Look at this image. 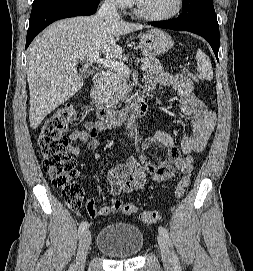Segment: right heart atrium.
<instances>
[{
	"label": "right heart atrium",
	"mask_w": 253,
	"mask_h": 271,
	"mask_svg": "<svg viewBox=\"0 0 253 271\" xmlns=\"http://www.w3.org/2000/svg\"><path fill=\"white\" fill-rule=\"evenodd\" d=\"M110 5L122 9L129 5L130 0H106Z\"/></svg>",
	"instance_id": "1"
}]
</instances>
